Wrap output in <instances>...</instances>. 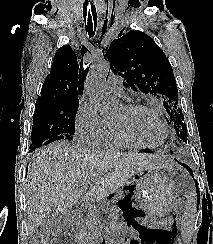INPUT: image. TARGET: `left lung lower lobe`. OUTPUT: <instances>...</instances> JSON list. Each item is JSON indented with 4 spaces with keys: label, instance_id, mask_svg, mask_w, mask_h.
Here are the masks:
<instances>
[{
    "label": "left lung lower lobe",
    "instance_id": "left-lung-lower-lobe-1",
    "mask_svg": "<svg viewBox=\"0 0 213 244\" xmlns=\"http://www.w3.org/2000/svg\"><path fill=\"white\" fill-rule=\"evenodd\" d=\"M145 152H149V151H145ZM178 163H180V165L184 166L188 170V172L192 175V177L194 178L193 172H192V170H191V168L189 166H187V165H185V164H183L181 162H178ZM195 184H197L196 181H195ZM196 189H197V185H196ZM198 193H199V190H197V194ZM127 201H128V198H125L123 201H119L118 202L119 207L123 211L128 210L127 208H129V203ZM197 203H198V196H197ZM198 206H199V204H198Z\"/></svg>",
    "mask_w": 213,
    "mask_h": 244
}]
</instances>
